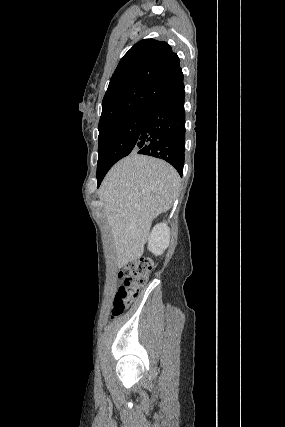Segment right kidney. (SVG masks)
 Listing matches in <instances>:
<instances>
[{"instance_id": "1", "label": "right kidney", "mask_w": 285, "mask_h": 427, "mask_svg": "<svg viewBox=\"0 0 285 427\" xmlns=\"http://www.w3.org/2000/svg\"><path fill=\"white\" fill-rule=\"evenodd\" d=\"M170 229L166 223H160L154 226L148 237V249L153 254L161 255L169 246Z\"/></svg>"}]
</instances>
